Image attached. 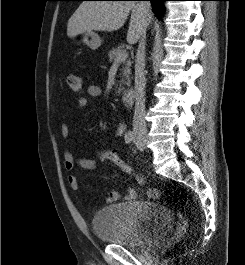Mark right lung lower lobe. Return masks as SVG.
I'll use <instances>...</instances> for the list:
<instances>
[{"instance_id":"98d812e1","label":"right lung lower lobe","mask_w":245,"mask_h":265,"mask_svg":"<svg viewBox=\"0 0 245 265\" xmlns=\"http://www.w3.org/2000/svg\"><path fill=\"white\" fill-rule=\"evenodd\" d=\"M127 1H139V0H127ZM151 2L153 12L155 15L160 18V14L162 13L163 10V2L167 0H147Z\"/></svg>"}]
</instances>
